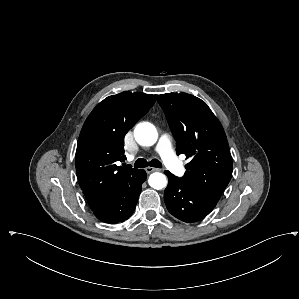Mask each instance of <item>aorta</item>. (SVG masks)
<instances>
[{"mask_svg": "<svg viewBox=\"0 0 299 299\" xmlns=\"http://www.w3.org/2000/svg\"><path fill=\"white\" fill-rule=\"evenodd\" d=\"M134 137L138 144L142 146H152L156 143L158 133L155 126L149 122L139 123L134 129ZM149 185L157 190L166 187L167 179L162 173H152L148 179Z\"/></svg>", "mask_w": 299, "mask_h": 299, "instance_id": "aorta-1", "label": "aorta"}]
</instances>
